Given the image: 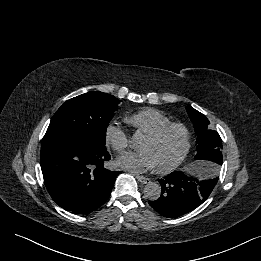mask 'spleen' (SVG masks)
<instances>
[{"mask_svg":"<svg viewBox=\"0 0 261 261\" xmlns=\"http://www.w3.org/2000/svg\"><path fill=\"white\" fill-rule=\"evenodd\" d=\"M196 171L200 173L204 178L208 177L207 174H205V172L201 171L200 169H197Z\"/></svg>","mask_w":261,"mask_h":261,"instance_id":"obj_1","label":"spleen"}]
</instances>
